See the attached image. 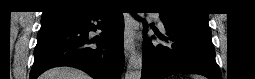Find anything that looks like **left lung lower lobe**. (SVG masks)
<instances>
[{
	"label": "left lung lower lobe",
	"instance_id": "obj_1",
	"mask_svg": "<svg viewBox=\"0 0 255 79\" xmlns=\"http://www.w3.org/2000/svg\"><path fill=\"white\" fill-rule=\"evenodd\" d=\"M161 19L169 40V46L143 41V68L141 79H164L179 73H195L209 79H221L215 61L214 46L209 25L197 21H173L162 12ZM144 26L147 27L146 22ZM146 32V31H144Z\"/></svg>",
	"mask_w": 255,
	"mask_h": 79
}]
</instances>
